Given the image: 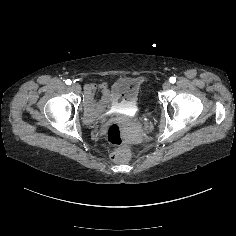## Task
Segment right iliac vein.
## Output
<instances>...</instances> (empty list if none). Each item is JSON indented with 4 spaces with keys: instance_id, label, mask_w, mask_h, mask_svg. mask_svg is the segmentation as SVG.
Segmentation results:
<instances>
[{
    "instance_id": "right-iliac-vein-1",
    "label": "right iliac vein",
    "mask_w": 236,
    "mask_h": 236,
    "mask_svg": "<svg viewBox=\"0 0 236 236\" xmlns=\"http://www.w3.org/2000/svg\"><path fill=\"white\" fill-rule=\"evenodd\" d=\"M71 88H72L73 91H75L77 93L81 92V87L78 84H72Z\"/></svg>"
}]
</instances>
